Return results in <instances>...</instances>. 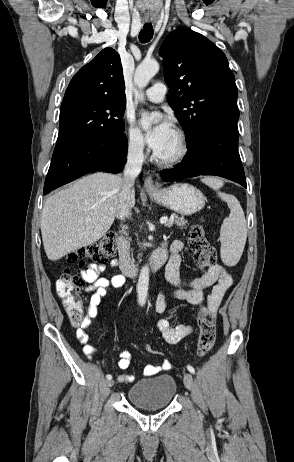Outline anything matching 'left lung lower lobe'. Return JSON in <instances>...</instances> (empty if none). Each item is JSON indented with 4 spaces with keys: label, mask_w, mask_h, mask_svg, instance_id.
Returning <instances> with one entry per match:
<instances>
[{
    "label": "left lung lower lobe",
    "mask_w": 294,
    "mask_h": 462,
    "mask_svg": "<svg viewBox=\"0 0 294 462\" xmlns=\"http://www.w3.org/2000/svg\"><path fill=\"white\" fill-rule=\"evenodd\" d=\"M238 108L225 110L209 122L202 134L187 145L190 153L173 169L163 170L164 181L199 175H216L247 188L244 169L237 151Z\"/></svg>",
    "instance_id": "left-lung-lower-lobe-1"
}]
</instances>
